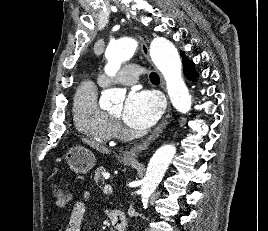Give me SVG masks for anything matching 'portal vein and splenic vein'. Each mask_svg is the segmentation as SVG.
I'll return each instance as SVG.
<instances>
[{
  "mask_svg": "<svg viewBox=\"0 0 268 231\" xmlns=\"http://www.w3.org/2000/svg\"><path fill=\"white\" fill-rule=\"evenodd\" d=\"M103 192L105 194H111L113 192L112 186L110 184H106L104 186Z\"/></svg>",
  "mask_w": 268,
  "mask_h": 231,
  "instance_id": "18ae733b",
  "label": "portal vein and splenic vein"
}]
</instances>
